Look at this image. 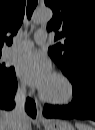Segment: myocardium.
Returning <instances> with one entry per match:
<instances>
[{
  "mask_svg": "<svg viewBox=\"0 0 95 130\" xmlns=\"http://www.w3.org/2000/svg\"><path fill=\"white\" fill-rule=\"evenodd\" d=\"M53 75L59 79H61L66 87H67V93L64 97L62 98H51L48 97L44 94L43 90L41 89L39 92V96L40 98L47 103L50 104H56V105H63V104H67L69 102H71V100L74 97L75 94V89H74V85L72 83V81L62 72H54Z\"/></svg>",
  "mask_w": 95,
  "mask_h": 130,
  "instance_id": "1",
  "label": "myocardium"
}]
</instances>
